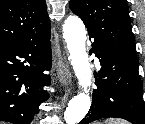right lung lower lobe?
Returning <instances> with one entry per match:
<instances>
[{
	"label": "right lung lower lobe",
	"mask_w": 145,
	"mask_h": 124,
	"mask_svg": "<svg viewBox=\"0 0 145 124\" xmlns=\"http://www.w3.org/2000/svg\"><path fill=\"white\" fill-rule=\"evenodd\" d=\"M50 30L42 35L0 45V121L30 124L48 99L43 89L51 68Z\"/></svg>",
	"instance_id": "right-lung-lower-lobe-1"
}]
</instances>
